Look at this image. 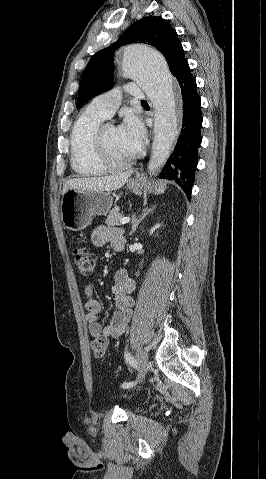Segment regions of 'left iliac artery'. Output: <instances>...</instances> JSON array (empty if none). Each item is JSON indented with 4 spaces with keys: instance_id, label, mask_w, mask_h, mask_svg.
Wrapping results in <instances>:
<instances>
[{
    "instance_id": "left-iliac-artery-1",
    "label": "left iliac artery",
    "mask_w": 266,
    "mask_h": 479,
    "mask_svg": "<svg viewBox=\"0 0 266 479\" xmlns=\"http://www.w3.org/2000/svg\"><path fill=\"white\" fill-rule=\"evenodd\" d=\"M125 355V358H126V361L129 362V364L131 365V369H138L139 368V365L137 364L136 360L131 356V354L128 352V351H125L124 353ZM136 384V382H124L121 387L122 388H130L132 386H134Z\"/></svg>"
}]
</instances>
